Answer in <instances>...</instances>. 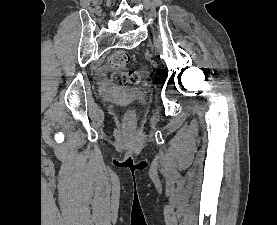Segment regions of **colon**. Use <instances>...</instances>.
Wrapping results in <instances>:
<instances>
[{"label": "colon", "mask_w": 277, "mask_h": 225, "mask_svg": "<svg viewBox=\"0 0 277 225\" xmlns=\"http://www.w3.org/2000/svg\"><path fill=\"white\" fill-rule=\"evenodd\" d=\"M131 57L127 52H117L109 60L111 75L107 79V85L112 88H129L137 85L142 79V73L126 68L130 63ZM135 120V114L129 110L125 115L126 127H131Z\"/></svg>", "instance_id": "obj_1"}]
</instances>
